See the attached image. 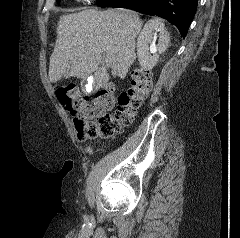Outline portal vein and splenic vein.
<instances>
[{
    "instance_id": "18ae733b",
    "label": "portal vein and splenic vein",
    "mask_w": 240,
    "mask_h": 238,
    "mask_svg": "<svg viewBox=\"0 0 240 238\" xmlns=\"http://www.w3.org/2000/svg\"><path fill=\"white\" fill-rule=\"evenodd\" d=\"M105 62H106L107 64H111V63H112L111 59H110L108 56H106Z\"/></svg>"
}]
</instances>
